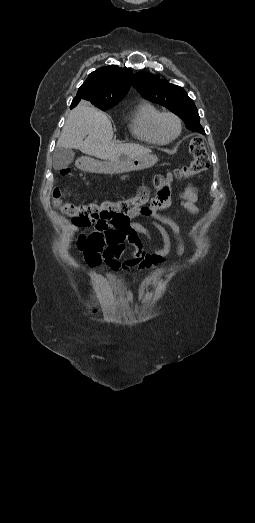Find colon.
<instances>
[{
    "label": "colon",
    "instance_id": "5ec220e1",
    "mask_svg": "<svg viewBox=\"0 0 255 523\" xmlns=\"http://www.w3.org/2000/svg\"><path fill=\"white\" fill-rule=\"evenodd\" d=\"M189 152L192 161L189 165L169 173L158 175L153 180V187L156 191L155 199H163L169 192L174 178H188L206 171L210 165V158L202 138L196 136L189 142ZM67 170H62L61 174H66ZM150 198L147 187H140L136 195L118 201H104L101 203L72 204L63 202L62 192L55 188L52 193L54 206L63 214L72 218L78 225H92L97 222L109 223L114 226H122L128 220V215L144 207Z\"/></svg>",
    "mask_w": 255,
    "mask_h": 523
}]
</instances>
